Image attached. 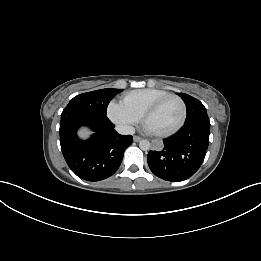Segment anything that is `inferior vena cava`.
<instances>
[{
	"label": "inferior vena cava",
	"instance_id": "602c4592",
	"mask_svg": "<svg viewBox=\"0 0 261 261\" xmlns=\"http://www.w3.org/2000/svg\"><path fill=\"white\" fill-rule=\"evenodd\" d=\"M115 129L119 134L122 135H133L135 133V128L133 126L125 124L117 125Z\"/></svg>",
	"mask_w": 261,
	"mask_h": 261
}]
</instances>
